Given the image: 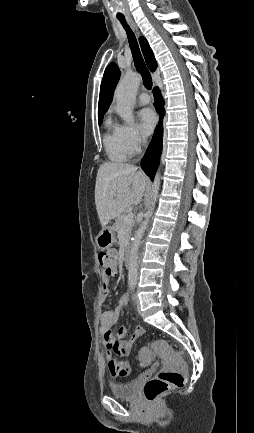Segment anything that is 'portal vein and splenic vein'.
Here are the masks:
<instances>
[{"mask_svg": "<svg viewBox=\"0 0 254 433\" xmlns=\"http://www.w3.org/2000/svg\"><path fill=\"white\" fill-rule=\"evenodd\" d=\"M134 214L132 212L128 213L124 218V223H129L133 220Z\"/></svg>", "mask_w": 254, "mask_h": 433, "instance_id": "obj_1", "label": "portal vein and splenic vein"}]
</instances>
